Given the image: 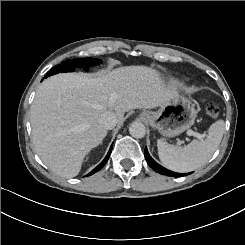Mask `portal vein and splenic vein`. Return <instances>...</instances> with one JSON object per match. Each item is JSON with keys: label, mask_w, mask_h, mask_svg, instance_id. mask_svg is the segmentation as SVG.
I'll return each instance as SVG.
<instances>
[{"label": "portal vein and splenic vein", "mask_w": 245, "mask_h": 245, "mask_svg": "<svg viewBox=\"0 0 245 245\" xmlns=\"http://www.w3.org/2000/svg\"><path fill=\"white\" fill-rule=\"evenodd\" d=\"M187 134L191 136H196L200 141H203V138L205 136L204 134L196 133V131L193 130H188Z\"/></svg>", "instance_id": "18ae733b"}]
</instances>
